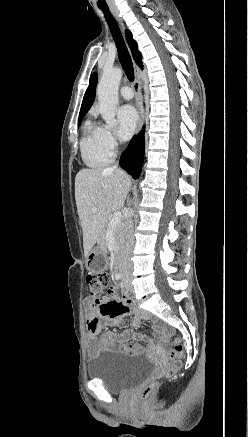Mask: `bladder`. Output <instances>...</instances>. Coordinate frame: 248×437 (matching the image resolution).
<instances>
[{
	"mask_svg": "<svg viewBox=\"0 0 248 437\" xmlns=\"http://www.w3.org/2000/svg\"><path fill=\"white\" fill-rule=\"evenodd\" d=\"M156 365L146 356L102 351L88 363L90 379L101 381L111 392L120 393L151 378Z\"/></svg>",
	"mask_w": 248,
	"mask_h": 437,
	"instance_id": "31cf9c89",
	"label": "bladder"
}]
</instances>
